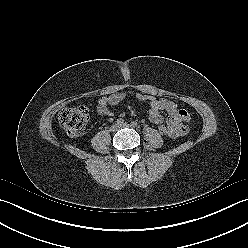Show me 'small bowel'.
Listing matches in <instances>:
<instances>
[{"label": "small bowel", "instance_id": "c3829d8e", "mask_svg": "<svg viewBox=\"0 0 248 248\" xmlns=\"http://www.w3.org/2000/svg\"><path fill=\"white\" fill-rule=\"evenodd\" d=\"M125 92H115L102 97L98 101L97 112L101 116L110 115L109 107L115 106L127 97ZM137 99L149 103V119L152 123L160 125L164 122L162 112H166L168 117L166 125L169 127L173 138L185 135L188 132L187 124L191 121L189 112L179 108L173 101L165 98L157 99L154 96L133 93Z\"/></svg>", "mask_w": 248, "mask_h": 248}]
</instances>
